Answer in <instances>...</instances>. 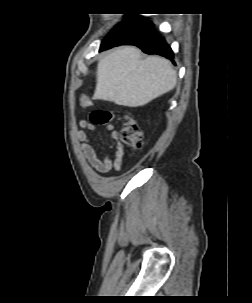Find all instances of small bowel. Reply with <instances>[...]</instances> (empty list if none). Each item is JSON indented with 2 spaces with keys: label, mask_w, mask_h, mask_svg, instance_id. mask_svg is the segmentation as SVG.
<instances>
[{
  "label": "small bowel",
  "mask_w": 252,
  "mask_h": 303,
  "mask_svg": "<svg viewBox=\"0 0 252 303\" xmlns=\"http://www.w3.org/2000/svg\"><path fill=\"white\" fill-rule=\"evenodd\" d=\"M80 129L76 133V137L80 142L82 154L88 165L100 173H108L110 170L119 171L122 166L125 150L124 146L118 140V132L113 124H108L106 129L111 132V138L114 141V153L112 157L100 158L96 149L91 144L86 130H94V126L87 120L79 121Z\"/></svg>",
  "instance_id": "obj_1"
}]
</instances>
